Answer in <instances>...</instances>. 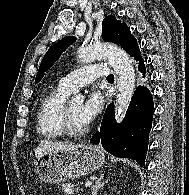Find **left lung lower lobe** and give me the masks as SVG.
Returning <instances> with one entry per match:
<instances>
[{
    "instance_id": "1",
    "label": "left lung lower lobe",
    "mask_w": 189,
    "mask_h": 195,
    "mask_svg": "<svg viewBox=\"0 0 189 195\" xmlns=\"http://www.w3.org/2000/svg\"><path fill=\"white\" fill-rule=\"evenodd\" d=\"M138 71L145 79L146 69L143 58ZM154 114L153 97L144 85H139L130 102L125 118L120 124L115 121L114 104L108 105L100 130L91 138L92 144L102 147L116 157L131 158L140 166L145 164L148 149V136Z\"/></svg>"
}]
</instances>
